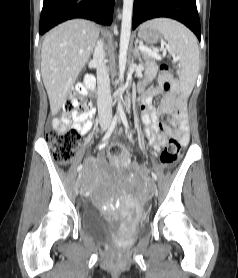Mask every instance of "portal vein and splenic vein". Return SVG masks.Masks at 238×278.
<instances>
[{
  "label": "portal vein and splenic vein",
  "mask_w": 238,
  "mask_h": 278,
  "mask_svg": "<svg viewBox=\"0 0 238 278\" xmlns=\"http://www.w3.org/2000/svg\"><path fill=\"white\" fill-rule=\"evenodd\" d=\"M141 51L147 52L149 55H151L153 58L160 60L161 56L158 54V50L157 49H149L143 45L139 46ZM178 57H174V61H177Z\"/></svg>",
  "instance_id": "portal-vein-and-splenic-vein-1"
}]
</instances>
